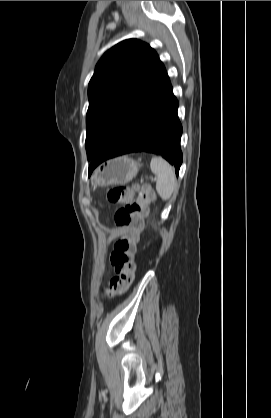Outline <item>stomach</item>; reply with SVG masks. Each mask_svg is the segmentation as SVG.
Returning a JSON list of instances; mask_svg holds the SVG:
<instances>
[{"label":"stomach","mask_w":271,"mask_h":418,"mask_svg":"<svg viewBox=\"0 0 271 418\" xmlns=\"http://www.w3.org/2000/svg\"><path fill=\"white\" fill-rule=\"evenodd\" d=\"M139 168L140 164L127 156L114 158L97 167L91 181L95 187L126 184L137 175Z\"/></svg>","instance_id":"1"}]
</instances>
